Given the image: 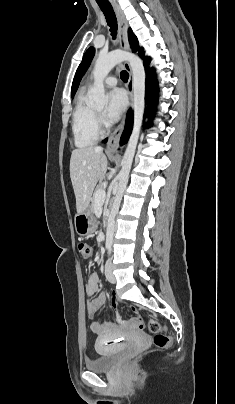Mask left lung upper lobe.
<instances>
[{
    "label": "left lung upper lobe",
    "instance_id": "left-lung-upper-lobe-1",
    "mask_svg": "<svg viewBox=\"0 0 235 404\" xmlns=\"http://www.w3.org/2000/svg\"><path fill=\"white\" fill-rule=\"evenodd\" d=\"M128 32H129L130 46H131L132 51L133 52H138L139 56L141 58H143L144 57L143 48L139 47L138 40H137L136 36L133 34L132 30L129 29ZM94 53H95V49L93 47H90L86 51V53H85V55L83 57V60H82L81 64L79 65V67H78V69L76 71V74H75V77H74V80H73V84H72V92H73V89H74L77 81L79 80V78L85 73V71L89 67V65L91 63V60H92V58L94 56Z\"/></svg>",
    "mask_w": 235,
    "mask_h": 404
}]
</instances>
